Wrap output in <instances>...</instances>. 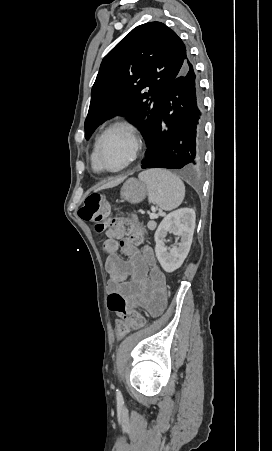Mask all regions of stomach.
I'll use <instances>...</instances> for the list:
<instances>
[{"label":"stomach","mask_w":272,"mask_h":451,"mask_svg":"<svg viewBox=\"0 0 272 451\" xmlns=\"http://www.w3.org/2000/svg\"><path fill=\"white\" fill-rule=\"evenodd\" d=\"M120 196L122 200L130 202V204H139V202H143L147 196L146 184L139 182V180H135V178H129V180H126L125 184H123Z\"/></svg>","instance_id":"obj_1"}]
</instances>
